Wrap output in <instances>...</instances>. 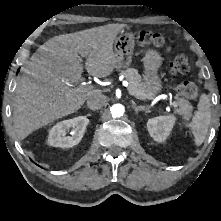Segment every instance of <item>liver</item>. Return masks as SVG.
Wrapping results in <instances>:
<instances>
[{"label": "liver", "mask_w": 221, "mask_h": 221, "mask_svg": "<svg viewBox=\"0 0 221 221\" xmlns=\"http://www.w3.org/2000/svg\"><path fill=\"white\" fill-rule=\"evenodd\" d=\"M124 24H108L55 36L41 45L24 69L14 97L13 124L19 139L76 112L102 90L76 92L82 81L81 57L87 72L99 78L115 68L113 43ZM81 56V57H80Z\"/></svg>", "instance_id": "obj_1"}]
</instances>
